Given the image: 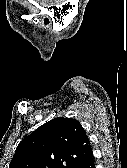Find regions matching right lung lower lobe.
<instances>
[{
  "mask_svg": "<svg viewBox=\"0 0 127 168\" xmlns=\"http://www.w3.org/2000/svg\"><path fill=\"white\" fill-rule=\"evenodd\" d=\"M74 168H95L93 156L80 164H77Z\"/></svg>",
  "mask_w": 127,
  "mask_h": 168,
  "instance_id": "obj_1",
  "label": "right lung lower lobe"
}]
</instances>
